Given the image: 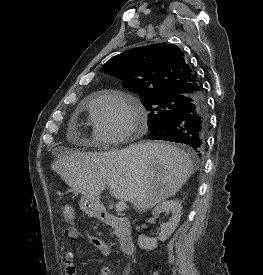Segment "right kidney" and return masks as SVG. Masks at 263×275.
I'll list each match as a JSON object with an SVG mask.
<instances>
[{"label":"right kidney","instance_id":"obj_1","mask_svg":"<svg viewBox=\"0 0 263 275\" xmlns=\"http://www.w3.org/2000/svg\"><path fill=\"white\" fill-rule=\"evenodd\" d=\"M181 211L182 205L178 200L163 201L153 209V216H157L162 212H171L169 221L161 225V232L158 240L165 241L172 235L180 221ZM158 240L156 238H148L144 234H141L138 237V246L141 249L154 250L157 248Z\"/></svg>","mask_w":263,"mask_h":275}]
</instances>
